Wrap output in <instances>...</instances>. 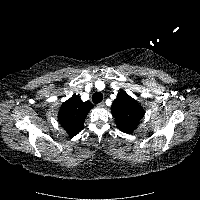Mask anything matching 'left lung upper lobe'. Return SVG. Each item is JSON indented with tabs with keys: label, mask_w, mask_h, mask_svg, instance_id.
<instances>
[{
	"label": "left lung upper lobe",
	"mask_w": 200,
	"mask_h": 200,
	"mask_svg": "<svg viewBox=\"0 0 200 200\" xmlns=\"http://www.w3.org/2000/svg\"><path fill=\"white\" fill-rule=\"evenodd\" d=\"M111 111L119 129L128 134L137 128L140 119L144 115V111L139 103L124 91L117 94Z\"/></svg>",
	"instance_id": "left-lung-upper-lobe-1"
}]
</instances>
